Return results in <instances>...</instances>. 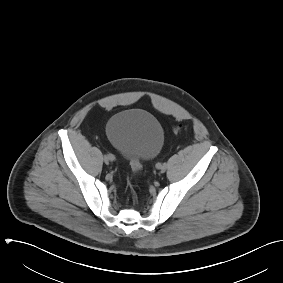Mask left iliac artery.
Masks as SVG:
<instances>
[{
	"mask_svg": "<svg viewBox=\"0 0 283 283\" xmlns=\"http://www.w3.org/2000/svg\"><path fill=\"white\" fill-rule=\"evenodd\" d=\"M160 165H161V163L158 162V163L156 164V167H158V166H160ZM164 165H166V163H164Z\"/></svg>",
	"mask_w": 283,
	"mask_h": 283,
	"instance_id": "44dca946",
	"label": "left iliac artery"
}]
</instances>
